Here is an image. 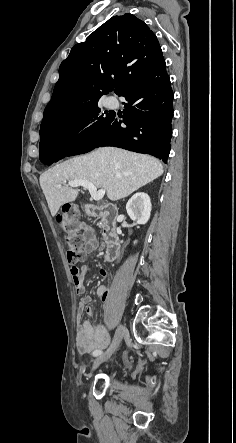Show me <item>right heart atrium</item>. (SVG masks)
Instances as JSON below:
<instances>
[{
    "label": "right heart atrium",
    "instance_id": "d8ad5b80",
    "mask_svg": "<svg viewBox=\"0 0 236 443\" xmlns=\"http://www.w3.org/2000/svg\"><path fill=\"white\" fill-rule=\"evenodd\" d=\"M88 131V126L86 124H80L76 127L74 135L76 137L84 136Z\"/></svg>",
    "mask_w": 236,
    "mask_h": 443
}]
</instances>
